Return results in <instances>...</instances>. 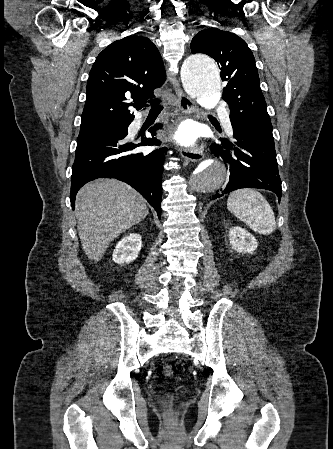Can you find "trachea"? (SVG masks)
Here are the masks:
<instances>
[{"mask_svg": "<svg viewBox=\"0 0 333 449\" xmlns=\"http://www.w3.org/2000/svg\"><path fill=\"white\" fill-rule=\"evenodd\" d=\"M163 109L162 105L160 104V100H155L151 105L150 112H160Z\"/></svg>", "mask_w": 333, "mask_h": 449, "instance_id": "obj_1", "label": "trachea"}]
</instances>
